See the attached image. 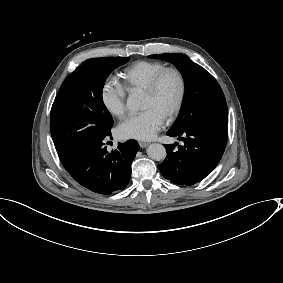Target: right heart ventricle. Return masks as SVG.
I'll return each mask as SVG.
<instances>
[{
	"mask_svg": "<svg viewBox=\"0 0 283 283\" xmlns=\"http://www.w3.org/2000/svg\"><path fill=\"white\" fill-rule=\"evenodd\" d=\"M166 67L167 64L161 61L139 60L123 68L120 77L127 92L142 91Z\"/></svg>",
	"mask_w": 283,
	"mask_h": 283,
	"instance_id": "e07e8e85",
	"label": "right heart ventricle"
}]
</instances>
